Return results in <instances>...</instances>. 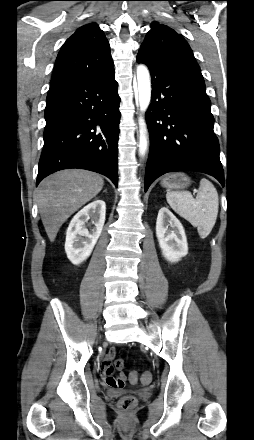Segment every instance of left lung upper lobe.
Instances as JSON below:
<instances>
[{
    "label": "left lung upper lobe",
    "instance_id": "left-lung-upper-lobe-1",
    "mask_svg": "<svg viewBox=\"0 0 254 440\" xmlns=\"http://www.w3.org/2000/svg\"><path fill=\"white\" fill-rule=\"evenodd\" d=\"M137 57L152 59L180 71L205 88L203 76L190 46L182 35L166 25L152 23Z\"/></svg>",
    "mask_w": 254,
    "mask_h": 440
}]
</instances>
